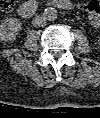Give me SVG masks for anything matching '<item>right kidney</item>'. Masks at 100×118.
<instances>
[{"label": "right kidney", "instance_id": "1", "mask_svg": "<svg viewBox=\"0 0 100 118\" xmlns=\"http://www.w3.org/2000/svg\"><path fill=\"white\" fill-rule=\"evenodd\" d=\"M21 22L16 18H7L0 24V40L4 42H12L19 35Z\"/></svg>", "mask_w": 100, "mask_h": 118}]
</instances>
